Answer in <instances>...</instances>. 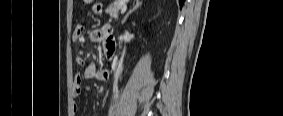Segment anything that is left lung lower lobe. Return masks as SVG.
I'll list each match as a JSON object with an SVG mask.
<instances>
[{
  "label": "left lung lower lobe",
  "mask_w": 283,
  "mask_h": 116,
  "mask_svg": "<svg viewBox=\"0 0 283 116\" xmlns=\"http://www.w3.org/2000/svg\"><path fill=\"white\" fill-rule=\"evenodd\" d=\"M184 0H179L180 7H182Z\"/></svg>",
  "instance_id": "left-lung-lower-lobe-1"
}]
</instances>
